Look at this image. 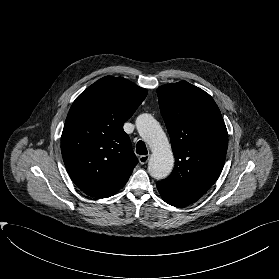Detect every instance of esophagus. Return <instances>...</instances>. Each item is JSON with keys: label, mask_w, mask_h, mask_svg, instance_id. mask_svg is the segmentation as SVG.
Masks as SVG:
<instances>
[{"label": "esophagus", "mask_w": 279, "mask_h": 279, "mask_svg": "<svg viewBox=\"0 0 279 279\" xmlns=\"http://www.w3.org/2000/svg\"><path fill=\"white\" fill-rule=\"evenodd\" d=\"M150 159V155H142L139 157V162L141 164H146Z\"/></svg>", "instance_id": "obj_1"}]
</instances>
